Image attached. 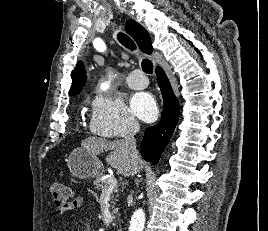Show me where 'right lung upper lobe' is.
I'll use <instances>...</instances> for the list:
<instances>
[{
	"mask_svg": "<svg viewBox=\"0 0 268 231\" xmlns=\"http://www.w3.org/2000/svg\"><path fill=\"white\" fill-rule=\"evenodd\" d=\"M126 32L131 35V37L136 41L139 48L146 54H151L153 51V47L151 44V39L149 37L146 29L137 23L134 20H128L126 22ZM72 85L70 88V95H76L85 85L86 82V73L83 68V63L81 61L78 62L76 68L71 73Z\"/></svg>",
	"mask_w": 268,
	"mask_h": 231,
	"instance_id": "obj_1",
	"label": "right lung upper lobe"
}]
</instances>
